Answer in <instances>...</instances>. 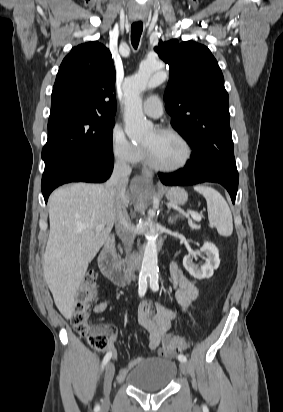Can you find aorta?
<instances>
[{
	"label": "aorta",
	"instance_id": "1",
	"mask_svg": "<svg viewBox=\"0 0 283 412\" xmlns=\"http://www.w3.org/2000/svg\"><path fill=\"white\" fill-rule=\"evenodd\" d=\"M164 64L160 60L144 62L137 73L125 80L124 89V121L125 132L129 139L137 141L147 135L152 124L146 120L142 110L141 92L147 87L160 85L166 75L163 73ZM149 189V183L139 178L133 185V190L139 195H145ZM147 244L145 246L140 275L141 277L154 276L158 273L157 233L154 229L145 234Z\"/></svg>",
	"mask_w": 283,
	"mask_h": 412
}]
</instances>
